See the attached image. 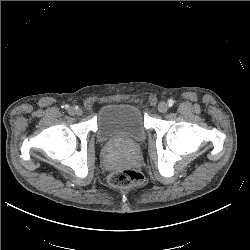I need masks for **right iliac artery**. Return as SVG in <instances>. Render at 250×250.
Instances as JSON below:
<instances>
[{"label": "right iliac artery", "instance_id": "obj_1", "mask_svg": "<svg viewBox=\"0 0 250 250\" xmlns=\"http://www.w3.org/2000/svg\"><path fill=\"white\" fill-rule=\"evenodd\" d=\"M69 106L68 105H65V108L67 109Z\"/></svg>", "mask_w": 250, "mask_h": 250}]
</instances>
